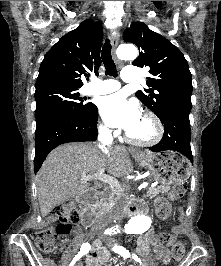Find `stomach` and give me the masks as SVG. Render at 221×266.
Here are the masks:
<instances>
[{
    "instance_id": "obj_1",
    "label": "stomach",
    "mask_w": 221,
    "mask_h": 266,
    "mask_svg": "<svg viewBox=\"0 0 221 266\" xmlns=\"http://www.w3.org/2000/svg\"><path fill=\"white\" fill-rule=\"evenodd\" d=\"M137 161L152 170L155 178L166 185L184 183L191 174L189 161L174 152L148 153L137 157Z\"/></svg>"
}]
</instances>
